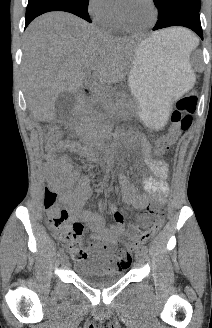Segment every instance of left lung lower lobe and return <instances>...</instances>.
<instances>
[{
  "label": "left lung lower lobe",
  "mask_w": 212,
  "mask_h": 328,
  "mask_svg": "<svg viewBox=\"0 0 212 328\" xmlns=\"http://www.w3.org/2000/svg\"><path fill=\"white\" fill-rule=\"evenodd\" d=\"M170 26L187 27L203 39L199 10L186 2L173 1L169 3L163 13H158V21L153 30Z\"/></svg>",
  "instance_id": "obj_1"
}]
</instances>
